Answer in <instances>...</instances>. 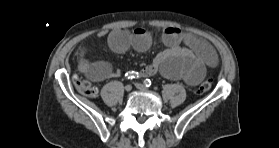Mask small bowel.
I'll return each mask as SVG.
<instances>
[{
	"label": "small bowel",
	"mask_w": 279,
	"mask_h": 148,
	"mask_svg": "<svg viewBox=\"0 0 279 148\" xmlns=\"http://www.w3.org/2000/svg\"><path fill=\"white\" fill-rule=\"evenodd\" d=\"M162 41L167 49L142 68V76H153L160 72L166 78L181 79L189 85H196L205 76L208 67L218 64L215 49L191 32L167 27L162 32ZM108 44L116 53H124L129 48L144 52L150 48L152 36L145 28H137L132 32L121 28L109 33ZM87 52L88 47L82 46L78 50V56L79 69L89 79L100 82L119 75V71L108 62H87Z\"/></svg>",
	"instance_id": "1"
}]
</instances>
